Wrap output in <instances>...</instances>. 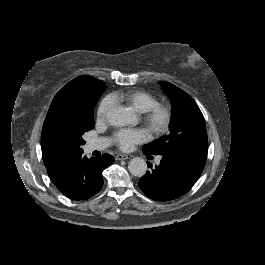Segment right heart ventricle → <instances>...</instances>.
<instances>
[{
  "mask_svg": "<svg viewBox=\"0 0 265 265\" xmlns=\"http://www.w3.org/2000/svg\"><path fill=\"white\" fill-rule=\"evenodd\" d=\"M115 104L132 108L137 113H145L155 104L157 99L149 92L141 89L123 88L111 93Z\"/></svg>",
  "mask_w": 265,
  "mask_h": 265,
  "instance_id": "e07e8e85",
  "label": "right heart ventricle"
}]
</instances>
